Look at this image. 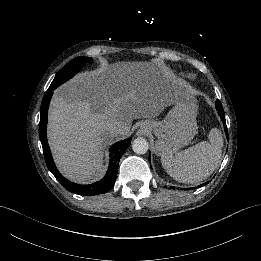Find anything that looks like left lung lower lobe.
Returning <instances> with one entry per match:
<instances>
[{
	"instance_id": "0a47b994",
	"label": "left lung lower lobe",
	"mask_w": 261,
	"mask_h": 261,
	"mask_svg": "<svg viewBox=\"0 0 261 261\" xmlns=\"http://www.w3.org/2000/svg\"><path fill=\"white\" fill-rule=\"evenodd\" d=\"M216 109L222 119V122L224 124V130H225V133H226V137L229 139V136H228V131H227V126H226V121H225V115H224V110H223V107H222V104L219 100H216ZM149 161H150V154H149ZM208 184L207 183H204L202 185H199V187H202L204 185Z\"/></svg>"
}]
</instances>
